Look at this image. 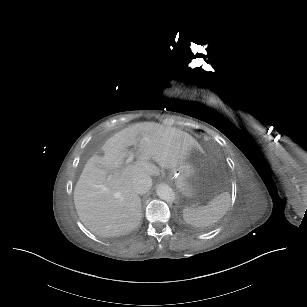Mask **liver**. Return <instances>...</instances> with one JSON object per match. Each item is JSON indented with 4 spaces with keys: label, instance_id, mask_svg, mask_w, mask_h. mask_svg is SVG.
<instances>
[{
    "label": "liver",
    "instance_id": "obj_1",
    "mask_svg": "<svg viewBox=\"0 0 307 307\" xmlns=\"http://www.w3.org/2000/svg\"><path fill=\"white\" fill-rule=\"evenodd\" d=\"M138 145L137 161L121 168ZM197 141L187 132L156 122H139L115 133L85 164L74 189V204L83 224L100 236H116L135 229L141 221V199L132 189L140 174L159 175L161 168L175 169ZM109 171L112 173L109 174Z\"/></svg>",
    "mask_w": 307,
    "mask_h": 307
}]
</instances>
